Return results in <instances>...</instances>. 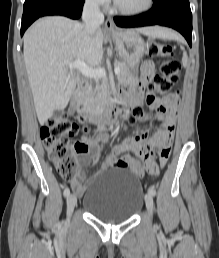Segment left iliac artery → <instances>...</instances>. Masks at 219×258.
<instances>
[{
    "label": "left iliac artery",
    "mask_w": 219,
    "mask_h": 258,
    "mask_svg": "<svg viewBox=\"0 0 219 258\" xmlns=\"http://www.w3.org/2000/svg\"><path fill=\"white\" fill-rule=\"evenodd\" d=\"M148 192H149L151 195H153V196L156 195V189H155L154 187H152V186L149 187Z\"/></svg>",
    "instance_id": "left-iliac-artery-1"
}]
</instances>
